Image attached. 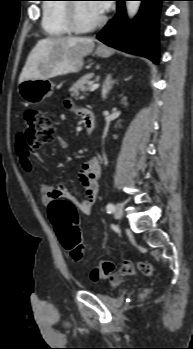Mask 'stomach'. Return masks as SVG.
Wrapping results in <instances>:
<instances>
[{
  "label": "stomach",
  "instance_id": "obj_1",
  "mask_svg": "<svg viewBox=\"0 0 193 349\" xmlns=\"http://www.w3.org/2000/svg\"><path fill=\"white\" fill-rule=\"evenodd\" d=\"M96 55L102 58L110 57L112 50L108 47L97 48ZM54 85L48 79H27L18 85L22 99L29 104H37L53 93Z\"/></svg>",
  "mask_w": 193,
  "mask_h": 349
}]
</instances>
